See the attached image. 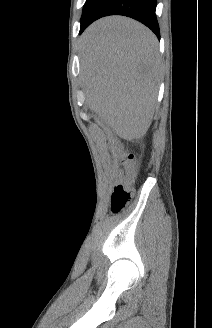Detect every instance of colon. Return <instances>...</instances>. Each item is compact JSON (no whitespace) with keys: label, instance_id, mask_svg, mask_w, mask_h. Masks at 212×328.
Wrapping results in <instances>:
<instances>
[{"label":"colon","instance_id":"obj_1","mask_svg":"<svg viewBox=\"0 0 212 328\" xmlns=\"http://www.w3.org/2000/svg\"><path fill=\"white\" fill-rule=\"evenodd\" d=\"M122 161L124 164L122 180L113 188L111 194L110 208L113 214L120 213L130 202L133 195L131 186L136 177L134 156L132 154L122 153Z\"/></svg>","mask_w":212,"mask_h":328}]
</instances>
